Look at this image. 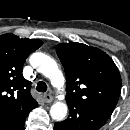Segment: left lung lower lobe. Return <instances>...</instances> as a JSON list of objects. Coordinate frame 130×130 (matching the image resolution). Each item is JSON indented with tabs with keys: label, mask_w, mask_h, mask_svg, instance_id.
<instances>
[{
	"label": "left lung lower lobe",
	"mask_w": 130,
	"mask_h": 130,
	"mask_svg": "<svg viewBox=\"0 0 130 130\" xmlns=\"http://www.w3.org/2000/svg\"><path fill=\"white\" fill-rule=\"evenodd\" d=\"M70 113L66 120L56 122L55 130H99L109 116L85 105H68Z\"/></svg>",
	"instance_id": "obj_1"
}]
</instances>
